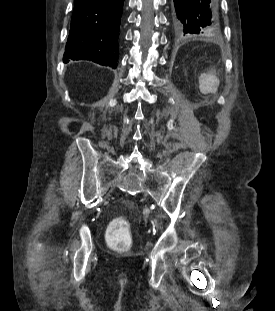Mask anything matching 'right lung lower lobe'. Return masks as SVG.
Listing matches in <instances>:
<instances>
[{
  "label": "right lung lower lobe",
  "mask_w": 275,
  "mask_h": 311,
  "mask_svg": "<svg viewBox=\"0 0 275 311\" xmlns=\"http://www.w3.org/2000/svg\"><path fill=\"white\" fill-rule=\"evenodd\" d=\"M124 0H75L64 62L90 60L117 67Z\"/></svg>",
  "instance_id": "98d812e1"
}]
</instances>
